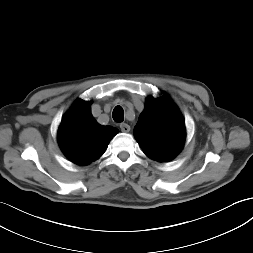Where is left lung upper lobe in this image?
Masks as SVG:
<instances>
[{"label": "left lung upper lobe", "instance_id": "obj_1", "mask_svg": "<svg viewBox=\"0 0 253 253\" xmlns=\"http://www.w3.org/2000/svg\"><path fill=\"white\" fill-rule=\"evenodd\" d=\"M134 137L143 152L159 162L172 160L182 150L186 128L178 108L165 94L148 97L134 128Z\"/></svg>", "mask_w": 253, "mask_h": 253}]
</instances>
